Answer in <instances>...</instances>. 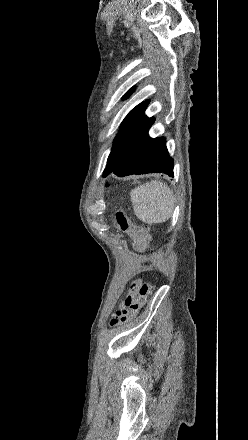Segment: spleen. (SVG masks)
<instances>
[{"instance_id": "obj_1", "label": "spleen", "mask_w": 248, "mask_h": 440, "mask_svg": "<svg viewBox=\"0 0 248 440\" xmlns=\"http://www.w3.org/2000/svg\"><path fill=\"white\" fill-rule=\"evenodd\" d=\"M134 214L147 223L160 224L167 221L174 210V196L163 182L153 180L131 191Z\"/></svg>"}]
</instances>
